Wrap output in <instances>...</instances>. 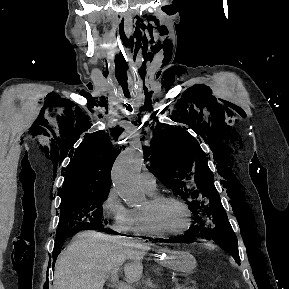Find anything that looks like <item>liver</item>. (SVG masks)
<instances>
[{
  "label": "liver",
  "instance_id": "liver-1",
  "mask_svg": "<svg viewBox=\"0 0 289 289\" xmlns=\"http://www.w3.org/2000/svg\"><path fill=\"white\" fill-rule=\"evenodd\" d=\"M149 249L143 244L124 245L116 237L96 231H83L57 258L54 289H103L107 276L125 261L128 282L140 280L142 259Z\"/></svg>",
  "mask_w": 289,
  "mask_h": 289
}]
</instances>
